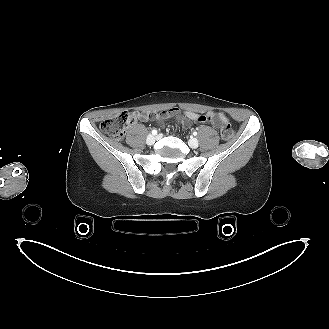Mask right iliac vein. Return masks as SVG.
I'll return each mask as SVG.
<instances>
[{
  "label": "right iliac vein",
  "mask_w": 329,
  "mask_h": 329,
  "mask_svg": "<svg viewBox=\"0 0 329 329\" xmlns=\"http://www.w3.org/2000/svg\"><path fill=\"white\" fill-rule=\"evenodd\" d=\"M155 141H156V137L153 135H149L146 139V143L148 145H153L155 143Z\"/></svg>",
  "instance_id": "63e3f726"
}]
</instances>
